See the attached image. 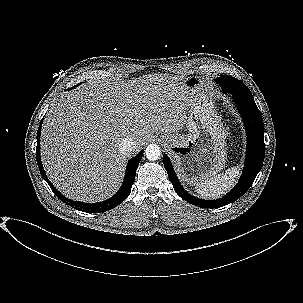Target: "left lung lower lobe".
I'll return each mask as SVG.
<instances>
[{
    "mask_svg": "<svg viewBox=\"0 0 303 303\" xmlns=\"http://www.w3.org/2000/svg\"><path fill=\"white\" fill-rule=\"evenodd\" d=\"M225 93L232 94L233 100L242 116L247 133V152L245 166L238 184L224 197L217 200H202L187 193L181 186L170 159L163 156V163L173 184L175 192L190 204L204 208H219L234 202L246 193L261 170L264 155V125L261 112L255 104L252 95H246L233 81L223 82L221 86Z\"/></svg>",
    "mask_w": 303,
    "mask_h": 303,
    "instance_id": "obj_1",
    "label": "left lung lower lobe"
}]
</instances>
